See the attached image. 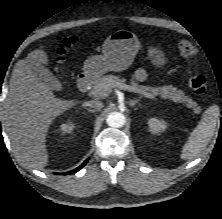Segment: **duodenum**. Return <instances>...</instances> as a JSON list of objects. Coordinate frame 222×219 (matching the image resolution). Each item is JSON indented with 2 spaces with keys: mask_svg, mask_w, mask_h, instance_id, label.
Segmentation results:
<instances>
[{
  "mask_svg": "<svg viewBox=\"0 0 222 219\" xmlns=\"http://www.w3.org/2000/svg\"><path fill=\"white\" fill-rule=\"evenodd\" d=\"M93 83V77L90 74L81 75L78 79L77 85L81 92H87Z\"/></svg>",
  "mask_w": 222,
  "mask_h": 219,
  "instance_id": "obj_1",
  "label": "duodenum"
}]
</instances>
